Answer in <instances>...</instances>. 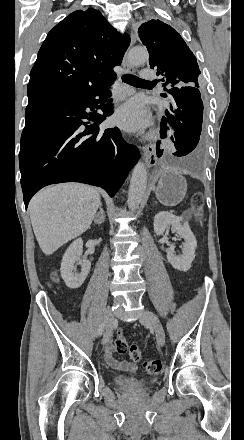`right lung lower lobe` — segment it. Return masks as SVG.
I'll return each mask as SVG.
<instances>
[{
  "label": "right lung lower lobe",
  "instance_id": "1",
  "mask_svg": "<svg viewBox=\"0 0 244 440\" xmlns=\"http://www.w3.org/2000/svg\"><path fill=\"white\" fill-rule=\"evenodd\" d=\"M115 78L79 94L29 99L19 152L26 208L32 196L49 184H91L111 197L119 190L140 158L139 151L123 140L117 127L99 130L98 124L113 112L111 101L102 108L103 115L86 111L98 107Z\"/></svg>",
  "mask_w": 244,
  "mask_h": 440
}]
</instances>
